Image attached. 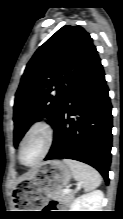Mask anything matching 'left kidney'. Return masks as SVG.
Wrapping results in <instances>:
<instances>
[{
  "instance_id": "left-kidney-1",
  "label": "left kidney",
  "mask_w": 123,
  "mask_h": 219,
  "mask_svg": "<svg viewBox=\"0 0 123 219\" xmlns=\"http://www.w3.org/2000/svg\"><path fill=\"white\" fill-rule=\"evenodd\" d=\"M104 195L100 190L79 196L71 205V211H102Z\"/></svg>"
}]
</instances>
